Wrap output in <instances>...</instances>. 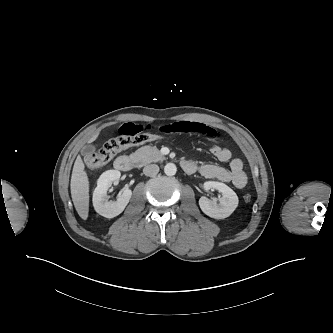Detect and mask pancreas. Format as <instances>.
<instances>
[{"mask_svg": "<svg viewBox=\"0 0 333 333\" xmlns=\"http://www.w3.org/2000/svg\"><path fill=\"white\" fill-rule=\"evenodd\" d=\"M131 158L138 167H142L151 162L165 160V156L155 146L141 147L131 154Z\"/></svg>", "mask_w": 333, "mask_h": 333, "instance_id": "1", "label": "pancreas"}]
</instances>
